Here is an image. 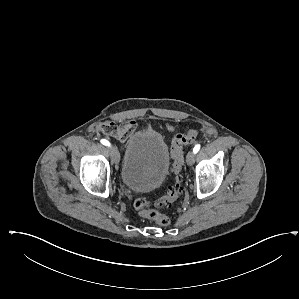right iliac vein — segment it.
I'll return each instance as SVG.
<instances>
[{
    "label": "right iliac vein",
    "instance_id": "obj_1",
    "mask_svg": "<svg viewBox=\"0 0 299 299\" xmlns=\"http://www.w3.org/2000/svg\"><path fill=\"white\" fill-rule=\"evenodd\" d=\"M110 154H111L112 162L115 165H118L120 156H119V152L115 146H112Z\"/></svg>",
    "mask_w": 299,
    "mask_h": 299
}]
</instances>
